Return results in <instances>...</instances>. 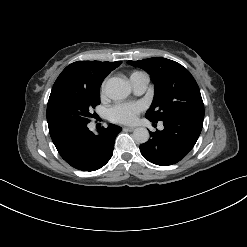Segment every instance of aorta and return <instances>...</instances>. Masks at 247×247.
Instances as JSON below:
<instances>
[{
	"instance_id": "762f6f07",
	"label": "aorta",
	"mask_w": 247,
	"mask_h": 247,
	"mask_svg": "<svg viewBox=\"0 0 247 247\" xmlns=\"http://www.w3.org/2000/svg\"><path fill=\"white\" fill-rule=\"evenodd\" d=\"M131 89L129 84L122 78H110L105 86V93L108 98L118 101L128 97ZM133 139L137 143H146L149 139V132L144 127L136 128L133 132Z\"/></svg>"
}]
</instances>
